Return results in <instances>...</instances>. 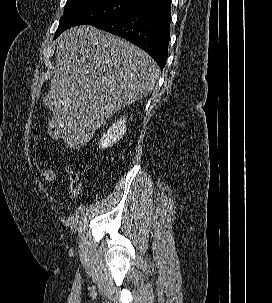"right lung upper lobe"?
Segmentation results:
<instances>
[{"mask_svg": "<svg viewBox=\"0 0 272 303\" xmlns=\"http://www.w3.org/2000/svg\"><path fill=\"white\" fill-rule=\"evenodd\" d=\"M129 1L135 2L138 5V7H140L149 3H153L157 0H129Z\"/></svg>", "mask_w": 272, "mask_h": 303, "instance_id": "1", "label": "right lung upper lobe"}]
</instances>
